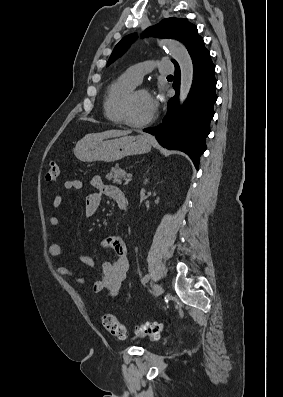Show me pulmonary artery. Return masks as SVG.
<instances>
[{
    "label": "pulmonary artery",
    "instance_id": "pulmonary-artery-1",
    "mask_svg": "<svg viewBox=\"0 0 283 397\" xmlns=\"http://www.w3.org/2000/svg\"><path fill=\"white\" fill-rule=\"evenodd\" d=\"M154 67L158 69L161 74H170L173 72V65L168 60H159L156 63L143 62L130 66L125 75L134 83L139 84L145 74L150 72Z\"/></svg>",
    "mask_w": 283,
    "mask_h": 397
}]
</instances>
